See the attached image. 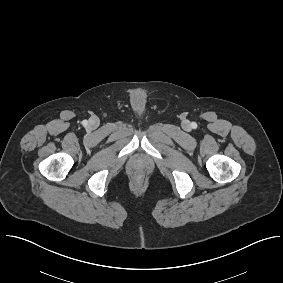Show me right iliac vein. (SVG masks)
I'll use <instances>...</instances> for the list:
<instances>
[{
	"label": "right iliac vein",
	"instance_id": "right-iliac-vein-1",
	"mask_svg": "<svg viewBox=\"0 0 283 283\" xmlns=\"http://www.w3.org/2000/svg\"><path fill=\"white\" fill-rule=\"evenodd\" d=\"M89 125H90V126H93V127L98 126V120H97V118H91V119L89 120Z\"/></svg>",
	"mask_w": 283,
	"mask_h": 283
}]
</instances>
